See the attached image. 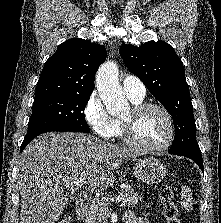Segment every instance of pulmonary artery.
<instances>
[{"label": "pulmonary artery", "instance_id": "obj_1", "mask_svg": "<svg viewBox=\"0 0 221 223\" xmlns=\"http://www.w3.org/2000/svg\"><path fill=\"white\" fill-rule=\"evenodd\" d=\"M122 88L126 95L133 100L143 99L146 95L144 83L135 76H126L122 80Z\"/></svg>", "mask_w": 221, "mask_h": 223}]
</instances>
